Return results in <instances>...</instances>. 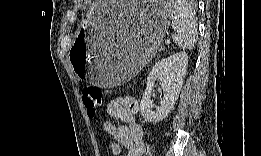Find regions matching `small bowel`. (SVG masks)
Instances as JSON below:
<instances>
[{
    "instance_id": "1",
    "label": "small bowel",
    "mask_w": 261,
    "mask_h": 156,
    "mask_svg": "<svg viewBox=\"0 0 261 156\" xmlns=\"http://www.w3.org/2000/svg\"><path fill=\"white\" fill-rule=\"evenodd\" d=\"M138 107L136 98L130 94L116 97L107 104L108 115L124 122V125H115L106 121L102 125L104 134L111 137L108 146L113 155H144L143 130L136 116Z\"/></svg>"
}]
</instances>
